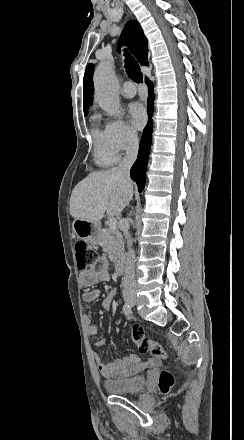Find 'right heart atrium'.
<instances>
[{"label":"right heart atrium","mask_w":244,"mask_h":440,"mask_svg":"<svg viewBox=\"0 0 244 440\" xmlns=\"http://www.w3.org/2000/svg\"><path fill=\"white\" fill-rule=\"evenodd\" d=\"M104 134L107 149L114 153L129 149L137 141L136 131L120 119L107 120Z\"/></svg>","instance_id":"obj_1"}]
</instances>
